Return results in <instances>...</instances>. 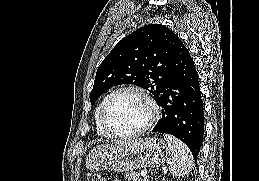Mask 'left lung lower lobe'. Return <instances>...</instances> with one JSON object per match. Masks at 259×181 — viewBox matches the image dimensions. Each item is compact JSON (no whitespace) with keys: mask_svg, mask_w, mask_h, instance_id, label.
Returning a JSON list of instances; mask_svg holds the SVG:
<instances>
[{"mask_svg":"<svg viewBox=\"0 0 259 181\" xmlns=\"http://www.w3.org/2000/svg\"><path fill=\"white\" fill-rule=\"evenodd\" d=\"M173 64V70L156 100L162 107V118L152 132L179 138L197 159L204 133L203 101L194 61L179 38L175 42Z\"/></svg>","mask_w":259,"mask_h":181,"instance_id":"0a47b994","label":"left lung lower lobe"}]
</instances>
